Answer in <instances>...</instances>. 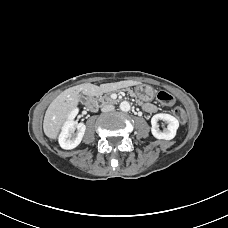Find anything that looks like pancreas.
Masks as SVG:
<instances>
[{
    "instance_id": "pancreas-1",
    "label": "pancreas",
    "mask_w": 228,
    "mask_h": 228,
    "mask_svg": "<svg viewBox=\"0 0 228 228\" xmlns=\"http://www.w3.org/2000/svg\"><path fill=\"white\" fill-rule=\"evenodd\" d=\"M128 91L133 97L135 96L134 93L130 90V89H121V90H117V91ZM112 93H107L105 94L104 96H100L99 97V101L102 103V104H112V103H116V100H113L110 95ZM136 99V101L138 102V104H140V106H144V103H141V101H138L136 96L134 97Z\"/></svg>"
}]
</instances>
